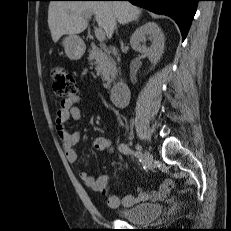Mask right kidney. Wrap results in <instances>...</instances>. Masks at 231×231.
<instances>
[{
    "instance_id": "right-kidney-1",
    "label": "right kidney",
    "mask_w": 231,
    "mask_h": 231,
    "mask_svg": "<svg viewBox=\"0 0 231 231\" xmlns=\"http://www.w3.org/2000/svg\"><path fill=\"white\" fill-rule=\"evenodd\" d=\"M152 41L150 47L145 45L146 38ZM165 37L155 22H148L136 29L130 38L131 47L148 57L153 67L160 61L164 51Z\"/></svg>"
}]
</instances>
